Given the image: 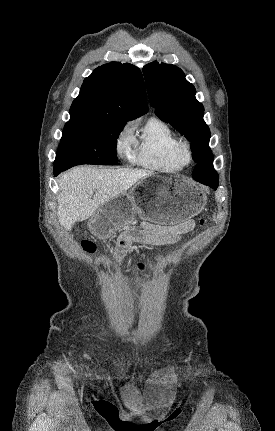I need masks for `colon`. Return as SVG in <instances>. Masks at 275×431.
<instances>
[{"mask_svg": "<svg viewBox=\"0 0 275 431\" xmlns=\"http://www.w3.org/2000/svg\"><path fill=\"white\" fill-rule=\"evenodd\" d=\"M205 223V220L204 219H202L201 220V224H204ZM82 247H83V249L85 250V251H87V252H89V253H92V252H94V250H95V245H94V243L93 242H91V241H83L82 242ZM138 269L139 270H142V269H144V265L143 264H140L139 266H138Z\"/></svg>", "mask_w": 275, "mask_h": 431, "instance_id": "1", "label": "colon"}]
</instances>
